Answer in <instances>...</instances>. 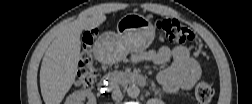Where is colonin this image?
<instances>
[{
    "label": "colon",
    "mask_w": 252,
    "mask_h": 104,
    "mask_svg": "<svg viewBox=\"0 0 252 104\" xmlns=\"http://www.w3.org/2000/svg\"><path fill=\"white\" fill-rule=\"evenodd\" d=\"M156 27L162 32L165 41L170 43H187L194 39V33L172 18L160 19ZM95 38L92 31L84 33L81 47V63L76 75L75 85L78 88H88L96 80L97 72L93 63L91 47ZM214 94L213 87L206 81H200L195 87V97L199 103L205 104L211 101Z\"/></svg>",
    "instance_id": "1"
}]
</instances>
